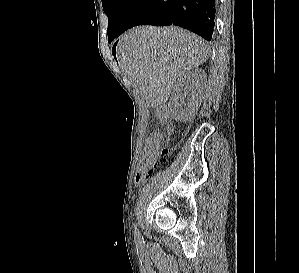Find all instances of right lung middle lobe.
<instances>
[{
    "label": "right lung middle lobe",
    "mask_w": 299,
    "mask_h": 273,
    "mask_svg": "<svg viewBox=\"0 0 299 273\" xmlns=\"http://www.w3.org/2000/svg\"><path fill=\"white\" fill-rule=\"evenodd\" d=\"M134 0H102L105 14L108 16V42L115 38L131 4Z\"/></svg>",
    "instance_id": "obj_1"
}]
</instances>
